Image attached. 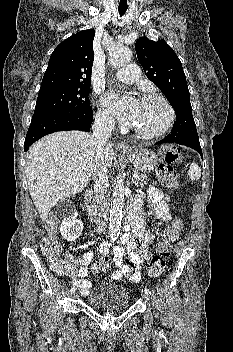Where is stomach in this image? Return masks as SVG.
Wrapping results in <instances>:
<instances>
[{
	"mask_svg": "<svg viewBox=\"0 0 233 352\" xmlns=\"http://www.w3.org/2000/svg\"><path fill=\"white\" fill-rule=\"evenodd\" d=\"M135 169L147 173L152 171L158 164V156L145 148H132L123 150Z\"/></svg>",
	"mask_w": 233,
	"mask_h": 352,
	"instance_id": "stomach-1",
	"label": "stomach"
}]
</instances>
